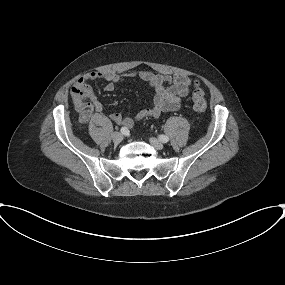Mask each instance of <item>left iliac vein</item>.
I'll return each instance as SVG.
<instances>
[{
  "mask_svg": "<svg viewBox=\"0 0 285 285\" xmlns=\"http://www.w3.org/2000/svg\"><path fill=\"white\" fill-rule=\"evenodd\" d=\"M149 141L150 144L157 150H162L164 148L163 143L156 138H150Z\"/></svg>",
  "mask_w": 285,
  "mask_h": 285,
  "instance_id": "obj_1",
  "label": "left iliac vein"
}]
</instances>
